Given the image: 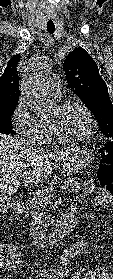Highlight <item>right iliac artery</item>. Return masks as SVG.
I'll return each instance as SVG.
<instances>
[{"label":"right iliac artery","mask_w":113,"mask_h":279,"mask_svg":"<svg viewBox=\"0 0 113 279\" xmlns=\"http://www.w3.org/2000/svg\"><path fill=\"white\" fill-rule=\"evenodd\" d=\"M39 275L41 277H47V279H54L56 276L57 277H63L65 275V270L64 269H57V270H50V271H40ZM42 279V278H40Z\"/></svg>","instance_id":"obj_1"}]
</instances>
